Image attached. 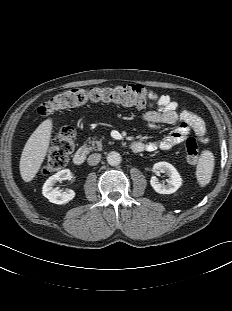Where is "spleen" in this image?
Instances as JSON below:
<instances>
[{
  "mask_svg": "<svg viewBox=\"0 0 232 311\" xmlns=\"http://www.w3.org/2000/svg\"><path fill=\"white\" fill-rule=\"evenodd\" d=\"M214 165L213 153L208 150L203 151L196 167V177L201 187L210 182Z\"/></svg>",
  "mask_w": 232,
  "mask_h": 311,
  "instance_id": "1",
  "label": "spleen"
}]
</instances>
